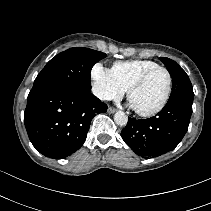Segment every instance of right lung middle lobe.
Instances as JSON below:
<instances>
[{"mask_svg":"<svg viewBox=\"0 0 211 211\" xmlns=\"http://www.w3.org/2000/svg\"><path fill=\"white\" fill-rule=\"evenodd\" d=\"M106 54L88 48H70L51 59L34 81L33 88L52 86L79 93L91 92L90 72Z\"/></svg>","mask_w":211,"mask_h":211,"instance_id":"obj_1","label":"right lung middle lobe"}]
</instances>
